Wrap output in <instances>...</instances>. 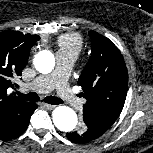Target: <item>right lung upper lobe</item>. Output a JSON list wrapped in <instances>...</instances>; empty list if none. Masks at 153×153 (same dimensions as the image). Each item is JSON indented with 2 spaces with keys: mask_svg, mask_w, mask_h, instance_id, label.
<instances>
[{
  "mask_svg": "<svg viewBox=\"0 0 153 153\" xmlns=\"http://www.w3.org/2000/svg\"><path fill=\"white\" fill-rule=\"evenodd\" d=\"M39 39L38 35H24L16 31L0 33V131L30 104L16 96L8 95L7 90L18 87L13 83V78L21 75L31 47Z\"/></svg>",
  "mask_w": 153,
  "mask_h": 153,
  "instance_id": "right-lung-upper-lobe-1",
  "label": "right lung upper lobe"
}]
</instances>
